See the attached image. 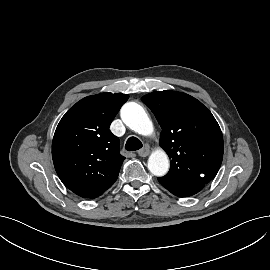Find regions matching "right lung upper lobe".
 <instances>
[{
    "instance_id": "cb5924a9",
    "label": "right lung upper lobe",
    "mask_w": 270,
    "mask_h": 270,
    "mask_svg": "<svg viewBox=\"0 0 270 270\" xmlns=\"http://www.w3.org/2000/svg\"><path fill=\"white\" fill-rule=\"evenodd\" d=\"M126 94L101 93L72 106L60 120L52 142L55 170L83 198L102 194L117 179L125 157L109 126L127 101Z\"/></svg>"
}]
</instances>
